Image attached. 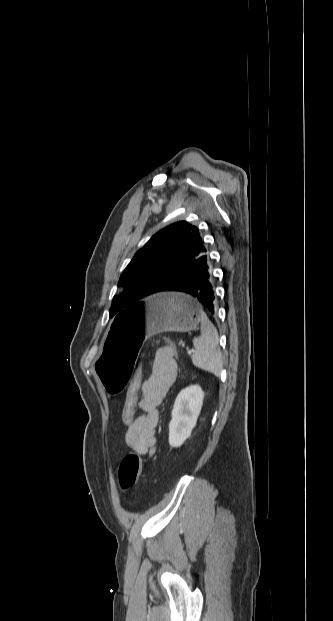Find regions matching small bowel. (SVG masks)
<instances>
[{
  "mask_svg": "<svg viewBox=\"0 0 333 621\" xmlns=\"http://www.w3.org/2000/svg\"><path fill=\"white\" fill-rule=\"evenodd\" d=\"M178 367L170 348L156 351L147 377L142 381L138 407L141 414L128 424L126 444L137 454L150 457L157 444L158 407L177 377Z\"/></svg>",
  "mask_w": 333,
  "mask_h": 621,
  "instance_id": "obj_1",
  "label": "small bowel"
}]
</instances>
